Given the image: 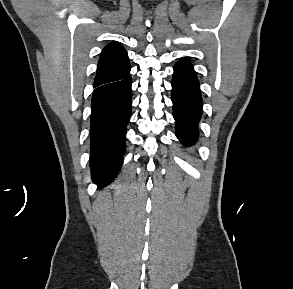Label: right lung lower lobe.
<instances>
[{"label":"right lung lower lobe","instance_id":"98d812e1","mask_svg":"<svg viewBox=\"0 0 293 289\" xmlns=\"http://www.w3.org/2000/svg\"><path fill=\"white\" fill-rule=\"evenodd\" d=\"M131 76L95 87L91 102L90 166L99 186L119 171L126 150V126L131 115Z\"/></svg>","mask_w":293,"mask_h":289}]
</instances>
